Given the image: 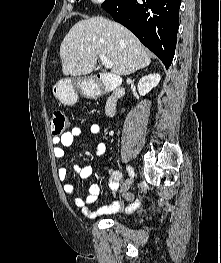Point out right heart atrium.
<instances>
[{
	"label": "right heart atrium",
	"mask_w": 221,
	"mask_h": 263,
	"mask_svg": "<svg viewBox=\"0 0 221 263\" xmlns=\"http://www.w3.org/2000/svg\"><path fill=\"white\" fill-rule=\"evenodd\" d=\"M96 5H101L105 0H91Z\"/></svg>",
	"instance_id": "d8ad5b80"
}]
</instances>
